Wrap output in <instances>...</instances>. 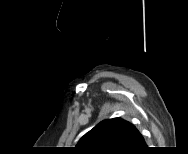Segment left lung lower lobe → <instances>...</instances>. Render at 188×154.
<instances>
[{
	"instance_id": "1",
	"label": "left lung lower lobe",
	"mask_w": 188,
	"mask_h": 154,
	"mask_svg": "<svg viewBox=\"0 0 188 154\" xmlns=\"http://www.w3.org/2000/svg\"><path fill=\"white\" fill-rule=\"evenodd\" d=\"M145 145L146 144H145V140H144L143 136L141 135V133L138 130H136L134 139L132 141L131 150H136L141 147H145Z\"/></svg>"
}]
</instances>
